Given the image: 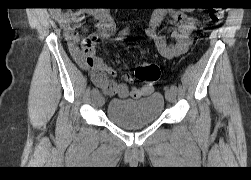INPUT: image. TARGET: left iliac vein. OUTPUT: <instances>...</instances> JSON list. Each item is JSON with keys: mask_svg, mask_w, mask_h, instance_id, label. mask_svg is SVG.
Here are the masks:
<instances>
[{"mask_svg": "<svg viewBox=\"0 0 251 180\" xmlns=\"http://www.w3.org/2000/svg\"><path fill=\"white\" fill-rule=\"evenodd\" d=\"M165 96H166V99L171 103L175 102L176 100V92L171 89H168L166 91Z\"/></svg>", "mask_w": 251, "mask_h": 180, "instance_id": "4c4485c4", "label": "left iliac vein"}]
</instances>
